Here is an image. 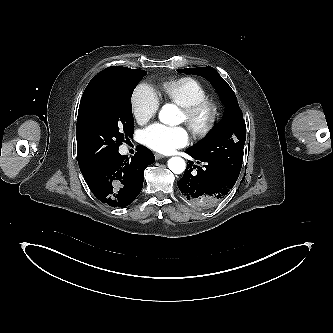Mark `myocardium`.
<instances>
[{
  "label": "myocardium",
  "mask_w": 333,
  "mask_h": 333,
  "mask_svg": "<svg viewBox=\"0 0 333 333\" xmlns=\"http://www.w3.org/2000/svg\"><path fill=\"white\" fill-rule=\"evenodd\" d=\"M185 123L195 139L208 136L219 123L222 108L218 101L206 98L192 105L182 107ZM207 115L204 123H200L202 116Z\"/></svg>",
  "instance_id": "obj_1"
}]
</instances>
